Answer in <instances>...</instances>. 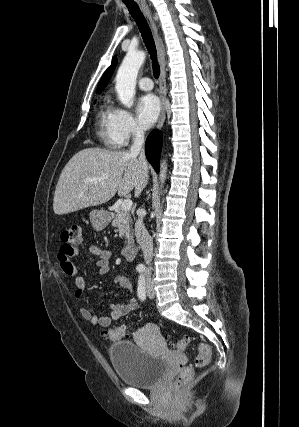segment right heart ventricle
<instances>
[{"label": "right heart ventricle", "instance_id": "obj_1", "mask_svg": "<svg viewBox=\"0 0 299 427\" xmlns=\"http://www.w3.org/2000/svg\"><path fill=\"white\" fill-rule=\"evenodd\" d=\"M97 133L103 143L109 148H117L114 133V108L108 100H104L100 106L97 117Z\"/></svg>", "mask_w": 299, "mask_h": 427}]
</instances>
